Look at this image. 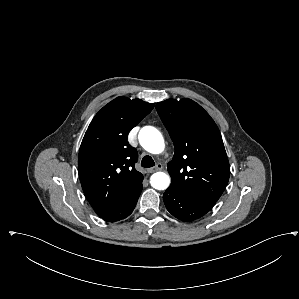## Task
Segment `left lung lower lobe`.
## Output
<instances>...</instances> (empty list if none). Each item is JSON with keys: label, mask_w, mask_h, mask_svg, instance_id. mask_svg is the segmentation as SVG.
<instances>
[{"label": "left lung lower lobe", "mask_w": 299, "mask_h": 299, "mask_svg": "<svg viewBox=\"0 0 299 299\" xmlns=\"http://www.w3.org/2000/svg\"><path fill=\"white\" fill-rule=\"evenodd\" d=\"M167 210L182 221H194L204 216L211 208L195 201L170 186L163 194Z\"/></svg>", "instance_id": "left-lung-lower-lobe-1"}]
</instances>
